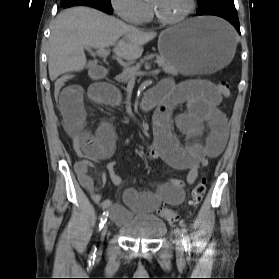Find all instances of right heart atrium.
Instances as JSON below:
<instances>
[{
  "label": "right heart atrium",
  "mask_w": 279,
  "mask_h": 279,
  "mask_svg": "<svg viewBox=\"0 0 279 279\" xmlns=\"http://www.w3.org/2000/svg\"><path fill=\"white\" fill-rule=\"evenodd\" d=\"M115 13L124 21L133 24L143 22L149 11L144 0H110Z\"/></svg>",
  "instance_id": "right-heart-atrium-1"
}]
</instances>
